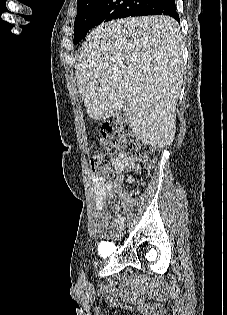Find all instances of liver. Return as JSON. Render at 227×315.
I'll list each match as a JSON object with an SVG mask.
<instances>
[{
  "label": "liver",
  "instance_id": "1",
  "mask_svg": "<svg viewBox=\"0 0 227 315\" xmlns=\"http://www.w3.org/2000/svg\"><path fill=\"white\" fill-rule=\"evenodd\" d=\"M183 37L168 16L119 19L93 30L75 65L78 93L94 120L125 111L133 133L163 148L175 136L183 83Z\"/></svg>",
  "mask_w": 227,
  "mask_h": 315
}]
</instances>
